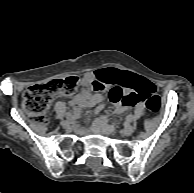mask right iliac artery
<instances>
[{"instance_id": "obj_1", "label": "right iliac artery", "mask_w": 194, "mask_h": 193, "mask_svg": "<svg viewBox=\"0 0 194 193\" xmlns=\"http://www.w3.org/2000/svg\"><path fill=\"white\" fill-rule=\"evenodd\" d=\"M66 118L73 121L75 116H73L71 113H67Z\"/></svg>"}]
</instances>
